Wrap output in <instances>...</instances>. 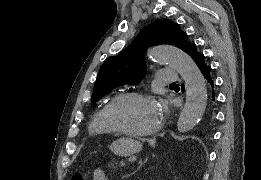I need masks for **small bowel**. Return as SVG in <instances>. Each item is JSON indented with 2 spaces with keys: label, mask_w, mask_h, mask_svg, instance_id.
<instances>
[{
  "label": "small bowel",
  "mask_w": 261,
  "mask_h": 180,
  "mask_svg": "<svg viewBox=\"0 0 261 180\" xmlns=\"http://www.w3.org/2000/svg\"><path fill=\"white\" fill-rule=\"evenodd\" d=\"M94 179L95 180H104L105 179L104 173L101 170H95Z\"/></svg>",
  "instance_id": "small-bowel-1"
}]
</instances>
